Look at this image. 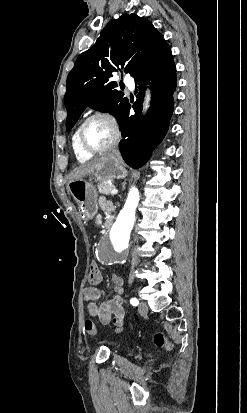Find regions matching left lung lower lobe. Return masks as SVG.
Returning <instances> with one entry per match:
<instances>
[{
	"instance_id": "0a47b994",
	"label": "left lung lower lobe",
	"mask_w": 247,
	"mask_h": 413,
	"mask_svg": "<svg viewBox=\"0 0 247 413\" xmlns=\"http://www.w3.org/2000/svg\"><path fill=\"white\" fill-rule=\"evenodd\" d=\"M176 83V66L170 47L157 52L135 77V87L139 88L137 100L132 106L135 115H129V103L120 125L122 136L126 137L120 143V150L128 165L134 168L142 166L165 136L174 110ZM147 84L152 85V102L149 113L143 120L140 114Z\"/></svg>"
}]
</instances>
